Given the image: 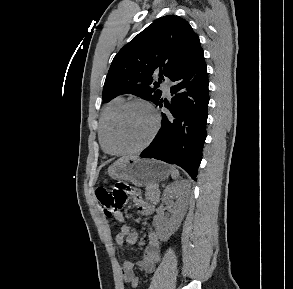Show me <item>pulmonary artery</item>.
<instances>
[{"label":"pulmonary artery","mask_w":293,"mask_h":289,"mask_svg":"<svg viewBox=\"0 0 293 289\" xmlns=\"http://www.w3.org/2000/svg\"><path fill=\"white\" fill-rule=\"evenodd\" d=\"M163 91L165 94H169L170 93V81L169 80H166L164 83H163Z\"/></svg>","instance_id":"obj_1"}]
</instances>
